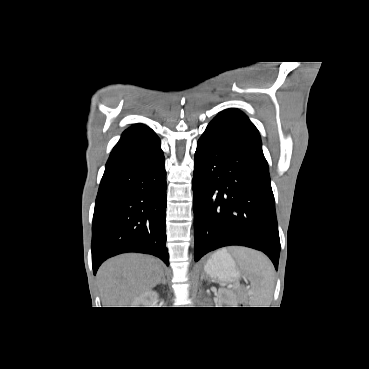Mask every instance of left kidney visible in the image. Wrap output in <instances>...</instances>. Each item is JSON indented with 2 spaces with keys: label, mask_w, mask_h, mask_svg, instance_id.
<instances>
[{
  "label": "left kidney",
  "mask_w": 369,
  "mask_h": 369,
  "mask_svg": "<svg viewBox=\"0 0 369 369\" xmlns=\"http://www.w3.org/2000/svg\"><path fill=\"white\" fill-rule=\"evenodd\" d=\"M219 307H236L237 297L230 291L219 290Z\"/></svg>",
  "instance_id": "left-kidney-1"
}]
</instances>
